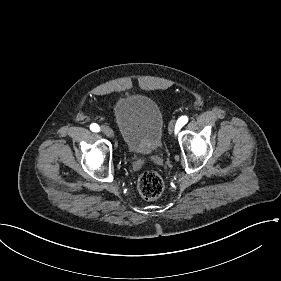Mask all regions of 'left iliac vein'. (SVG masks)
Instances as JSON below:
<instances>
[{
    "label": "left iliac vein",
    "mask_w": 281,
    "mask_h": 281,
    "mask_svg": "<svg viewBox=\"0 0 281 281\" xmlns=\"http://www.w3.org/2000/svg\"><path fill=\"white\" fill-rule=\"evenodd\" d=\"M176 128V122L174 120H172L170 123H169V127H168V131L169 133H173L174 129Z\"/></svg>",
    "instance_id": "1"
}]
</instances>
